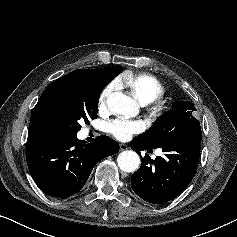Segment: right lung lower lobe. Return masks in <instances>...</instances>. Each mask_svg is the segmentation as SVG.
Instances as JSON below:
<instances>
[{"label":"right lung lower lobe","instance_id":"obj_1","mask_svg":"<svg viewBox=\"0 0 237 237\" xmlns=\"http://www.w3.org/2000/svg\"><path fill=\"white\" fill-rule=\"evenodd\" d=\"M118 151L119 144L108 136L84 144L76 134L45 132L28 137L26 159L38 187L48 195L65 198L85 185L100 160Z\"/></svg>","mask_w":237,"mask_h":237}]
</instances>
